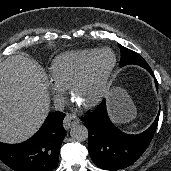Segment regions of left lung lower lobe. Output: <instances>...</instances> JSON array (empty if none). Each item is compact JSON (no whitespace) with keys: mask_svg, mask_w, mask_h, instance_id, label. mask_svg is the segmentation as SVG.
<instances>
[{"mask_svg":"<svg viewBox=\"0 0 171 171\" xmlns=\"http://www.w3.org/2000/svg\"><path fill=\"white\" fill-rule=\"evenodd\" d=\"M154 77L151 68L146 69ZM156 89L158 82L155 79ZM159 114L143 133L129 135L118 130L110 121L105 100L82 118L89 132V153L93 162L102 169L116 171L135 162L146 150L155 134Z\"/></svg>","mask_w":171,"mask_h":171,"instance_id":"obj_1","label":"left lung lower lobe"}]
</instances>
